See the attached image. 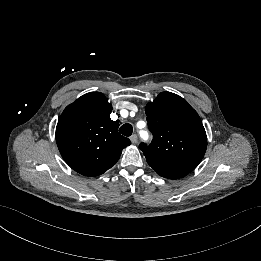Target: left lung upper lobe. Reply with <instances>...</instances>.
<instances>
[{
    "mask_svg": "<svg viewBox=\"0 0 261 261\" xmlns=\"http://www.w3.org/2000/svg\"><path fill=\"white\" fill-rule=\"evenodd\" d=\"M150 145L141 143L148 164L157 173L184 177L202 160L207 137L197 112L180 96L161 92L145 107Z\"/></svg>",
    "mask_w": 261,
    "mask_h": 261,
    "instance_id": "obj_1",
    "label": "left lung upper lobe"
}]
</instances>
